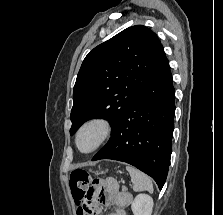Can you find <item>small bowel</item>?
Segmentation results:
<instances>
[{
  "mask_svg": "<svg viewBox=\"0 0 223 215\" xmlns=\"http://www.w3.org/2000/svg\"><path fill=\"white\" fill-rule=\"evenodd\" d=\"M132 196L126 191H120L115 180L111 178L96 179L86 189L84 203L90 205L93 215H98L99 204L113 205L114 211L107 215H126L125 209L131 204ZM78 215H83L78 212Z\"/></svg>",
  "mask_w": 223,
  "mask_h": 215,
  "instance_id": "c3829d8e",
  "label": "small bowel"
}]
</instances>
